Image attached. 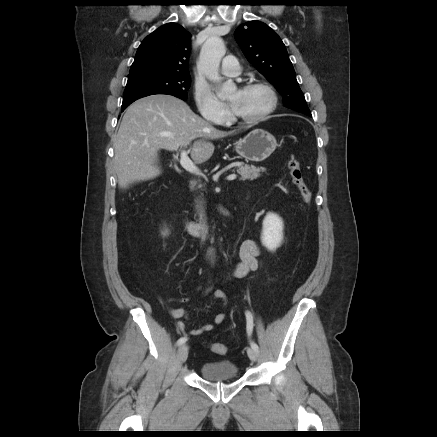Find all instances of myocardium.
<instances>
[{"label":"myocardium","mask_w":437,"mask_h":437,"mask_svg":"<svg viewBox=\"0 0 437 437\" xmlns=\"http://www.w3.org/2000/svg\"><path fill=\"white\" fill-rule=\"evenodd\" d=\"M243 88H262L269 95V103L268 106L262 111L260 114L254 117H242L237 115L234 111L232 112V119L236 122L244 123V124H256L265 120L276 108L278 98L274 88L264 81H249L247 82Z\"/></svg>","instance_id":"f54148a6"}]
</instances>
